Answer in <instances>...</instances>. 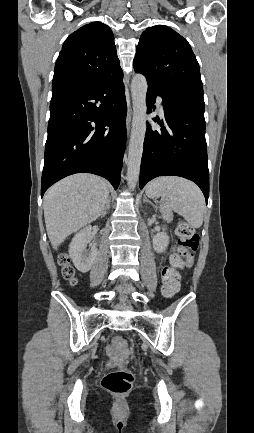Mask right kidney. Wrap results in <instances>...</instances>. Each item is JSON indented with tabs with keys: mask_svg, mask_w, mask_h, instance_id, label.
Listing matches in <instances>:
<instances>
[{
	"mask_svg": "<svg viewBox=\"0 0 254 433\" xmlns=\"http://www.w3.org/2000/svg\"><path fill=\"white\" fill-rule=\"evenodd\" d=\"M92 239V227L87 226L74 236L69 246V255L72 258L73 264L82 273H86L91 269L97 256L95 245L92 246L90 251L87 249V244Z\"/></svg>",
	"mask_w": 254,
	"mask_h": 433,
	"instance_id": "1",
	"label": "right kidney"
}]
</instances>
